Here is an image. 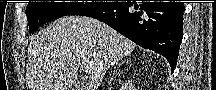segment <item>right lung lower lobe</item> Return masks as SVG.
<instances>
[{"instance_id":"1","label":"right lung lower lobe","mask_w":216,"mask_h":90,"mask_svg":"<svg viewBox=\"0 0 216 90\" xmlns=\"http://www.w3.org/2000/svg\"><path fill=\"white\" fill-rule=\"evenodd\" d=\"M183 2H111L80 16L98 19L136 44L163 55L173 72L183 38Z\"/></svg>"}]
</instances>
